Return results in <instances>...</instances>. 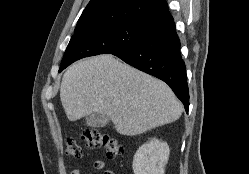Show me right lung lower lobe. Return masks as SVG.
<instances>
[{
	"instance_id": "98d812e1",
	"label": "right lung lower lobe",
	"mask_w": 249,
	"mask_h": 174,
	"mask_svg": "<svg viewBox=\"0 0 249 174\" xmlns=\"http://www.w3.org/2000/svg\"><path fill=\"white\" fill-rule=\"evenodd\" d=\"M113 55L166 82L188 112L186 68L181 57L180 41L172 16L148 24L138 42Z\"/></svg>"
}]
</instances>
